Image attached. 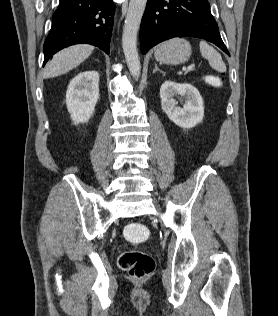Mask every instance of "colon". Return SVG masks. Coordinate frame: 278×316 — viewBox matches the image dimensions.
<instances>
[{
    "instance_id": "1",
    "label": "colon",
    "mask_w": 278,
    "mask_h": 316,
    "mask_svg": "<svg viewBox=\"0 0 278 316\" xmlns=\"http://www.w3.org/2000/svg\"><path fill=\"white\" fill-rule=\"evenodd\" d=\"M206 82L213 87H220L222 80L219 76L209 75ZM125 238L133 243H140L150 236L149 229L141 223H130L124 229ZM118 267L135 279L149 276L155 268V261L151 255L142 251H123L117 259Z\"/></svg>"
}]
</instances>
